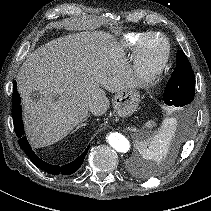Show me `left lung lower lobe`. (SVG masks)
<instances>
[{"label": "left lung lower lobe", "instance_id": "obj_1", "mask_svg": "<svg viewBox=\"0 0 211 211\" xmlns=\"http://www.w3.org/2000/svg\"><path fill=\"white\" fill-rule=\"evenodd\" d=\"M190 122H191V116H190V113H189V109H183L179 113V117H178V131H177V134H178L179 137L188 128V126L190 125ZM166 146H169L166 149L167 152L173 153L178 147L177 139H174L169 144L167 143Z\"/></svg>", "mask_w": 211, "mask_h": 211}]
</instances>
